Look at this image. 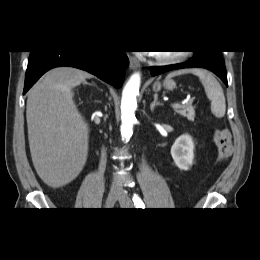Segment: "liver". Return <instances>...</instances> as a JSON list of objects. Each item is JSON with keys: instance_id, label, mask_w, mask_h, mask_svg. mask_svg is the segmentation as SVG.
<instances>
[{"instance_id": "obj_1", "label": "liver", "mask_w": 260, "mask_h": 260, "mask_svg": "<svg viewBox=\"0 0 260 260\" xmlns=\"http://www.w3.org/2000/svg\"><path fill=\"white\" fill-rule=\"evenodd\" d=\"M91 77L80 69L58 67L29 91L26 119L31 158L39 177L53 188L74 180L86 163L89 130L72 89Z\"/></svg>"}]
</instances>
